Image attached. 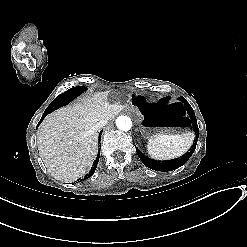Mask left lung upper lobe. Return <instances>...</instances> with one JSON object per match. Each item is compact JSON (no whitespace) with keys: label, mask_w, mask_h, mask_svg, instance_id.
<instances>
[{"label":"left lung upper lobe","mask_w":247,"mask_h":247,"mask_svg":"<svg viewBox=\"0 0 247 247\" xmlns=\"http://www.w3.org/2000/svg\"><path fill=\"white\" fill-rule=\"evenodd\" d=\"M181 100H182V101H186L184 98H183V99L181 98Z\"/></svg>","instance_id":"left-lung-upper-lobe-1"}]
</instances>
